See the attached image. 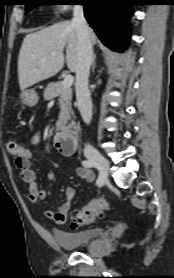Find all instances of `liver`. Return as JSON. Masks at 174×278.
<instances>
[{
	"label": "liver",
	"mask_w": 174,
	"mask_h": 278,
	"mask_svg": "<svg viewBox=\"0 0 174 278\" xmlns=\"http://www.w3.org/2000/svg\"><path fill=\"white\" fill-rule=\"evenodd\" d=\"M89 39L91 45L96 44V35L91 29ZM65 59L69 70L75 72L78 63V37L72 22H59L26 35L18 57L20 89L23 91L54 76L63 68Z\"/></svg>",
	"instance_id": "liver-1"
}]
</instances>
